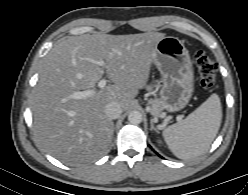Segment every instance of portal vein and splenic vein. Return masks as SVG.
<instances>
[{
  "label": "portal vein and splenic vein",
  "instance_id": "portal-vein-and-splenic-vein-1",
  "mask_svg": "<svg viewBox=\"0 0 248 195\" xmlns=\"http://www.w3.org/2000/svg\"><path fill=\"white\" fill-rule=\"evenodd\" d=\"M101 65H105L104 62H100ZM107 85V80L106 79H102L98 82V87L99 88H104ZM93 93H95L94 90H87V91H83V92H78L76 94H74V98H86L89 97L91 95H93Z\"/></svg>",
  "mask_w": 248,
  "mask_h": 195
}]
</instances>
